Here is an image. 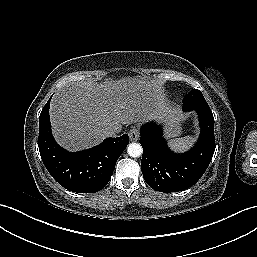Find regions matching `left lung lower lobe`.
Segmentation results:
<instances>
[{
    "mask_svg": "<svg viewBox=\"0 0 257 257\" xmlns=\"http://www.w3.org/2000/svg\"><path fill=\"white\" fill-rule=\"evenodd\" d=\"M192 110L198 114L201 134L197 144L187 153L176 154L168 148L160 125L146 124L140 129L141 170L146 183L156 191L177 192L191 187L211 162L215 151L212 111L208 107Z\"/></svg>",
    "mask_w": 257,
    "mask_h": 257,
    "instance_id": "1",
    "label": "left lung lower lobe"
}]
</instances>
